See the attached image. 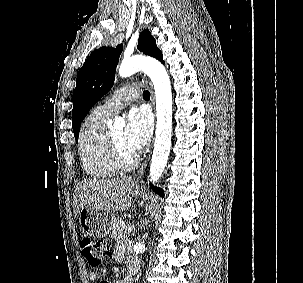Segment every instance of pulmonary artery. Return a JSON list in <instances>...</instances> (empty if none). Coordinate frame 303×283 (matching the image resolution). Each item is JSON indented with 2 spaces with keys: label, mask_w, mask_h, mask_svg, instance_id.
Wrapping results in <instances>:
<instances>
[{
  "label": "pulmonary artery",
  "mask_w": 303,
  "mask_h": 283,
  "mask_svg": "<svg viewBox=\"0 0 303 283\" xmlns=\"http://www.w3.org/2000/svg\"><path fill=\"white\" fill-rule=\"evenodd\" d=\"M139 96V90L136 86H124L116 91L111 98L98 106V109L104 114L112 116L129 102L138 99Z\"/></svg>",
  "instance_id": "e3ab8cb5"
}]
</instances>
